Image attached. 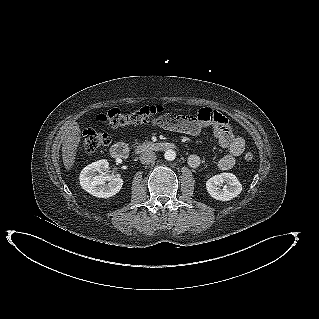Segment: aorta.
I'll return each mask as SVG.
<instances>
[{
	"label": "aorta",
	"instance_id": "1",
	"mask_svg": "<svg viewBox=\"0 0 319 319\" xmlns=\"http://www.w3.org/2000/svg\"><path fill=\"white\" fill-rule=\"evenodd\" d=\"M164 158L167 161H173L176 158V152L172 149H169V150L165 151Z\"/></svg>",
	"mask_w": 319,
	"mask_h": 319
}]
</instances>
